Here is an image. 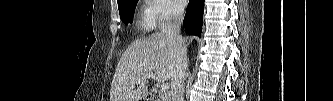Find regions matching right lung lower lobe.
Masks as SVG:
<instances>
[{"mask_svg": "<svg viewBox=\"0 0 333 101\" xmlns=\"http://www.w3.org/2000/svg\"><path fill=\"white\" fill-rule=\"evenodd\" d=\"M204 0H189L183 25L192 35L200 36L203 23Z\"/></svg>", "mask_w": 333, "mask_h": 101, "instance_id": "right-lung-lower-lobe-1", "label": "right lung lower lobe"}]
</instances>
